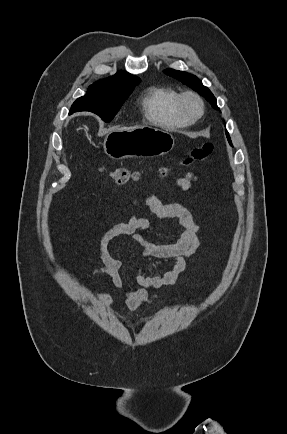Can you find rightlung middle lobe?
Returning a JSON list of instances; mask_svg holds the SVG:
<instances>
[{
  "label": "right lung middle lobe",
  "mask_w": 287,
  "mask_h": 434,
  "mask_svg": "<svg viewBox=\"0 0 287 434\" xmlns=\"http://www.w3.org/2000/svg\"><path fill=\"white\" fill-rule=\"evenodd\" d=\"M139 83L140 81L125 84L95 82L83 97L73 103L70 113L91 111L109 122Z\"/></svg>",
  "instance_id": "right-lung-middle-lobe-1"
}]
</instances>
